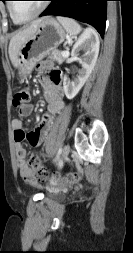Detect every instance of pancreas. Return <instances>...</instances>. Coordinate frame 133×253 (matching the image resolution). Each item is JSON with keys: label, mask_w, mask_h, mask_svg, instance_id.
Segmentation results:
<instances>
[{"label": "pancreas", "mask_w": 133, "mask_h": 253, "mask_svg": "<svg viewBox=\"0 0 133 253\" xmlns=\"http://www.w3.org/2000/svg\"><path fill=\"white\" fill-rule=\"evenodd\" d=\"M49 59L56 60L58 63L63 62L66 57L62 55L60 51L54 50L48 55Z\"/></svg>", "instance_id": "1"}]
</instances>
